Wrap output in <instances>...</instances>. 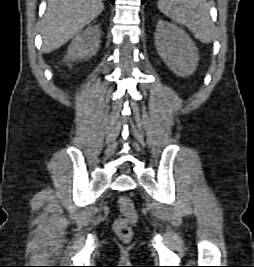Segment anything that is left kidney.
I'll use <instances>...</instances> for the list:
<instances>
[{"mask_svg":"<svg viewBox=\"0 0 254 267\" xmlns=\"http://www.w3.org/2000/svg\"><path fill=\"white\" fill-rule=\"evenodd\" d=\"M158 54L176 75L186 77L194 73L199 61L192 39L175 24L159 20L155 32Z\"/></svg>","mask_w":254,"mask_h":267,"instance_id":"left-kidney-1","label":"left kidney"}]
</instances>
